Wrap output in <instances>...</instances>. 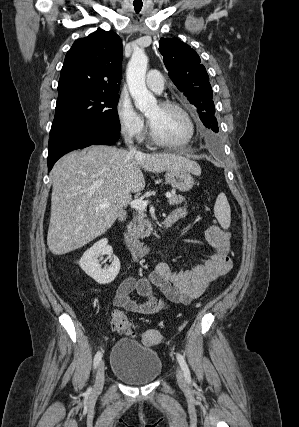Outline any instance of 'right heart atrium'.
<instances>
[{
  "label": "right heart atrium",
  "instance_id": "1",
  "mask_svg": "<svg viewBox=\"0 0 299 427\" xmlns=\"http://www.w3.org/2000/svg\"><path fill=\"white\" fill-rule=\"evenodd\" d=\"M116 117L120 132L125 138L135 141H140L144 138L146 132L145 122L126 96H120L117 101Z\"/></svg>",
  "mask_w": 299,
  "mask_h": 427
}]
</instances>
